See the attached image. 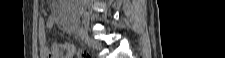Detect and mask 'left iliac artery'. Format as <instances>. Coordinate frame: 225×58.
Here are the masks:
<instances>
[{
    "mask_svg": "<svg viewBox=\"0 0 225 58\" xmlns=\"http://www.w3.org/2000/svg\"><path fill=\"white\" fill-rule=\"evenodd\" d=\"M79 34L82 35V37H84L87 34L86 29L83 27H80Z\"/></svg>",
    "mask_w": 225,
    "mask_h": 58,
    "instance_id": "left-iliac-artery-1",
    "label": "left iliac artery"
}]
</instances>
